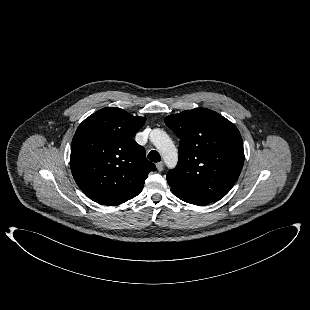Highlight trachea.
Returning <instances> with one entry per match:
<instances>
[{
  "label": "trachea",
  "instance_id": "3493384b",
  "mask_svg": "<svg viewBox=\"0 0 310 310\" xmlns=\"http://www.w3.org/2000/svg\"><path fill=\"white\" fill-rule=\"evenodd\" d=\"M148 159L152 162H159L161 160V157L157 151L152 150L148 154Z\"/></svg>",
  "mask_w": 310,
  "mask_h": 310
}]
</instances>
